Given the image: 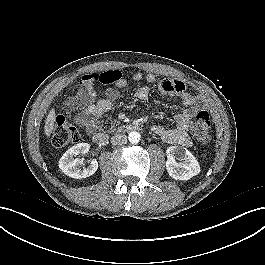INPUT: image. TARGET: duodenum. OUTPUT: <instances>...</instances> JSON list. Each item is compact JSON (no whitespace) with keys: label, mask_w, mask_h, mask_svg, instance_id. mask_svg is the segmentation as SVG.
I'll use <instances>...</instances> for the list:
<instances>
[{"label":"duodenum","mask_w":265,"mask_h":265,"mask_svg":"<svg viewBox=\"0 0 265 265\" xmlns=\"http://www.w3.org/2000/svg\"><path fill=\"white\" fill-rule=\"evenodd\" d=\"M124 129L128 132L138 131L141 126L138 124H127ZM92 139L96 144L104 145L108 141V136L105 133L96 132L92 135Z\"/></svg>","instance_id":"1"}]
</instances>
